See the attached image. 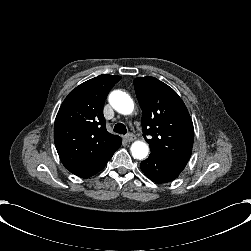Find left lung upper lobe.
<instances>
[{
	"label": "left lung upper lobe",
	"instance_id": "obj_1",
	"mask_svg": "<svg viewBox=\"0 0 251 251\" xmlns=\"http://www.w3.org/2000/svg\"><path fill=\"white\" fill-rule=\"evenodd\" d=\"M134 88L142 109L141 124L151 155L186 166L194 141L189 112L178 94L155 77H139Z\"/></svg>",
	"mask_w": 251,
	"mask_h": 251
}]
</instances>
